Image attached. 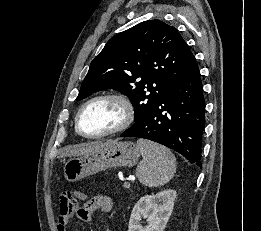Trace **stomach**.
<instances>
[{
    "mask_svg": "<svg viewBox=\"0 0 261 231\" xmlns=\"http://www.w3.org/2000/svg\"><path fill=\"white\" fill-rule=\"evenodd\" d=\"M139 157L140 149L135 143L116 140L98 152L70 158L64 164V176L68 182H76L106 169L133 167Z\"/></svg>",
    "mask_w": 261,
    "mask_h": 231,
    "instance_id": "obj_1",
    "label": "stomach"
}]
</instances>
